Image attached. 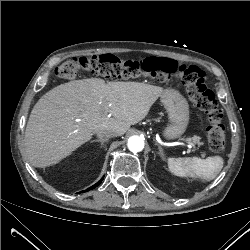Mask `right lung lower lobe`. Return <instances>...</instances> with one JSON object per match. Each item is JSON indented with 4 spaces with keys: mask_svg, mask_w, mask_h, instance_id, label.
<instances>
[{
    "mask_svg": "<svg viewBox=\"0 0 250 250\" xmlns=\"http://www.w3.org/2000/svg\"><path fill=\"white\" fill-rule=\"evenodd\" d=\"M102 180H103V178L99 182H97L95 185H93L92 187L88 188L86 191H90V190L94 189L95 187H97L101 183ZM86 191H84V192H86Z\"/></svg>",
    "mask_w": 250,
    "mask_h": 250,
    "instance_id": "98d812e1",
    "label": "right lung lower lobe"
}]
</instances>
